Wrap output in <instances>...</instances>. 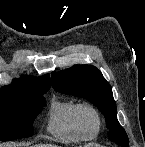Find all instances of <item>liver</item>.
I'll return each mask as SVG.
<instances>
[{
  "label": "liver",
  "instance_id": "liver-1",
  "mask_svg": "<svg viewBox=\"0 0 145 147\" xmlns=\"http://www.w3.org/2000/svg\"><path fill=\"white\" fill-rule=\"evenodd\" d=\"M34 147H57V146L52 144H38L35 145Z\"/></svg>",
  "mask_w": 145,
  "mask_h": 147
}]
</instances>
